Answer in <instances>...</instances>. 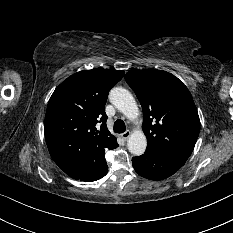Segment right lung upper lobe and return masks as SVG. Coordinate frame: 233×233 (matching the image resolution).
Listing matches in <instances>:
<instances>
[{
  "label": "right lung upper lobe",
  "instance_id": "obj_1",
  "mask_svg": "<svg viewBox=\"0 0 233 233\" xmlns=\"http://www.w3.org/2000/svg\"><path fill=\"white\" fill-rule=\"evenodd\" d=\"M123 75L111 69L83 70L53 92L44 131L50 155L62 171L97 173L106 164L105 150L118 147L106 126L105 104Z\"/></svg>",
  "mask_w": 233,
  "mask_h": 233
}]
</instances>
